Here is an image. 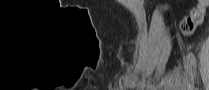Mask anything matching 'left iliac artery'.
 <instances>
[{
	"label": "left iliac artery",
	"instance_id": "left-iliac-artery-1",
	"mask_svg": "<svg viewBox=\"0 0 209 90\" xmlns=\"http://www.w3.org/2000/svg\"><path fill=\"white\" fill-rule=\"evenodd\" d=\"M187 57H188V59L190 60L191 65H192L194 68H196V66H197V61H196L195 55H194L192 52H189Z\"/></svg>",
	"mask_w": 209,
	"mask_h": 90
}]
</instances>
